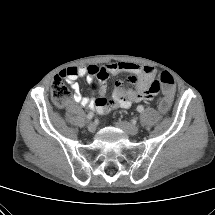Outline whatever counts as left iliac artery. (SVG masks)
<instances>
[{"label": "left iliac artery", "mask_w": 215, "mask_h": 215, "mask_svg": "<svg viewBox=\"0 0 215 215\" xmlns=\"http://www.w3.org/2000/svg\"><path fill=\"white\" fill-rule=\"evenodd\" d=\"M143 110H144V107L142 106V105H139L138 107H137V111L138 112H143Z\"/></svg>", "instance_id": "obj_1"}]
</instances>
